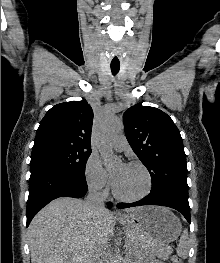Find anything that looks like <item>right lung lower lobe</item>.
<instances>
[{"label":"right lung lower lobe","mask_w":220,"mask_h":263,"mask_svg":"<svg viewBox=\"0 0 220 263\" xmlns=\"http://www.w3.org/2000/svg\"><path fill=\"white\" fill-rule=\"evenodd\" d=\"M30 171L27 226L36 213L53 199L63 196L81 198L87 192L85 175L48 165H34ZM108 207L111 208L112 204L108 203Z\"/></svg>","instance_id":"1"}]
</instances>
